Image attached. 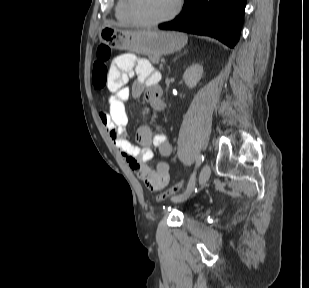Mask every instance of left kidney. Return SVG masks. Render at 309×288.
Listing matches in <instances>:
<instances>
[{
	"label": "left kidney",
	"mask_w": 309,
	"mask_h": 288,
	"mask_svg": "<svg viewBox=\"0 0 309 288\" xmlns=\"http://www.w3.org/2000/svg\"><path fill=\"white\" fill-rule=\"evenodd\" d=\"M203 75V67L199 64H193L186 69L183 74V80L189 88H194Z\"/></svg>",
	"instance_id": "1"
}]
</instances>
